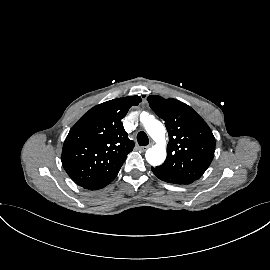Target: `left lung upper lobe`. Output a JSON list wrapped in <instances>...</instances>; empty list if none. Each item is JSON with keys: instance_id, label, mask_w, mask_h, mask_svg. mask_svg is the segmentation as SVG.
Instances as JSON below:
<instances>
[{"instance_id": "1", "label": "left lung upper lobe", "mask_w": 270, "mask_h": 270, "mask_svg": "<svg viewBox=\"0 0 270 270\" xmlns=\"http://www.w3.org/2000/svg\"><path fill=\"white\" fill-rule=\"evenodd\" d=\"M147 101L165 121L169 134L167 158L158 168L199 179L214 157L212 131L190 106L179 100L150 95Z\"/></svg>"}]
</instances>
